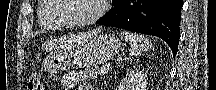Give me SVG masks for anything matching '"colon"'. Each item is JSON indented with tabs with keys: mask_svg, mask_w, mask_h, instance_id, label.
I'll list each match as a JSON object with an SVG mask.
<instances>
[{
	"mask_svg": "<svg viewBox=\"0 0 216 90\" xmlns=\"http://www.w3.org/2000/svg\"><path fill=\"white\" fill-rule=\"evenodd\" d=\"M42 83L38 77H32L28 83V90H42Z\"/></svg>",
	"mask_w": 216,
	"mask_h": 90,
	"instance_id": "obj_1",
	"label": "colon"
}]
</instances>
